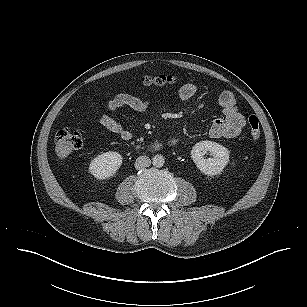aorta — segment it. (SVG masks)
<instances>
[{"mask_svg":"<svg viewBox=\"0 0 307 307\" xmlns=\"http://www.w3.org/2000/svg\"><path fill=\"white\" fill-rule=\"evenodd\" d=\"M165 163V159L162 155H155L153 158H152V164L153 166L157 167V168H160L164 165Z\"/></svg>","mask_w":307,"mask_h":307,"instance_id":"762f6f07","label":"aorta"}]
</instances>
